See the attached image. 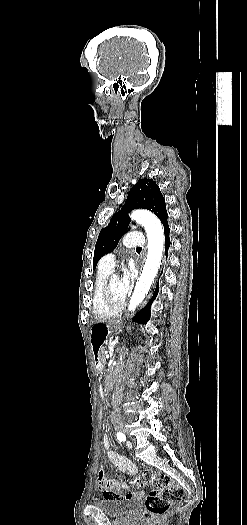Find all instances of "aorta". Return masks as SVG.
<instances>
[{"mask_svg": "<svg viewBox=\"0 0 247 525\" xmlns=\"http://www.w3.org/2000/svg\"><path fill=\"white\" fill-rule=\"evenodd\" d=\"M131 218L145 228L148 238V256L128 307L130 311H134L148 294L158 273L164 247V231L158 218L149 211L135 210Z\"/></svg>", "mask_w": 247, "mask_h": 525, "instance_id": "aorta-1", "label": "aorta"}]
</instances>
